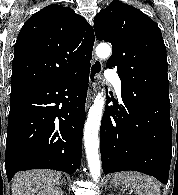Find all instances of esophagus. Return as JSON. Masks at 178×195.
Returning a JSON list of instances; mask_svg holds the SVG:
<instances>
[{"mask_svg": "<svg viewBox=\"0 0 178 195\" xmlns=\"http://www.w3.org/2000/svg\"><path fill=\"white\" fill-rule=\"evenodd\" d=\"M102 72V62L93 54L92 65L90 68V89L86 100V110L91 105L95 93L98 89L99 78Z\"/></svg>", "mask_w": 178, "mask_h": 195, "instance_id": "34e87169", "label": "esophagus"}]
</instances>
